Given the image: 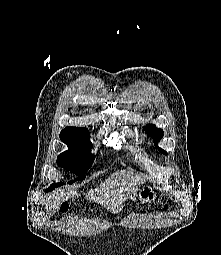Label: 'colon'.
<instances>
[{"label":"colon","instance_id":"colon-1","mask_svg":"<svg viewBox=\"0 0 221 255\" xmlns=\"http://www.w3.org/2000/svg\"><path fill=\"white\" fill-rule=\"evenodd\" d=\"M170 207H171V204L170 203H166L165 205H164V209H170Z\"/></svg>","mask_w":221,"mask_h":255}]
</instances>
